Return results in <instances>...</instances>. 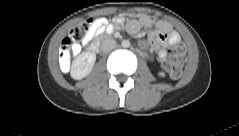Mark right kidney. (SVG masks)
<instances>
[{"label":"right kidney","mask_w":239,"mask_h":136,"mask_svg":"<svg viewBox=\"0 0 239 136\" xmlns=\"http://www.w3.org/2000/svg\"><path fill=\"white\" fill-rule=\"evenodd\" d=\"M96 61V55L92 52H83L78 55L72 62L71 77L75 80H81L86 77Z\"/></svg>","instance_id":"1"}]
</instances>
